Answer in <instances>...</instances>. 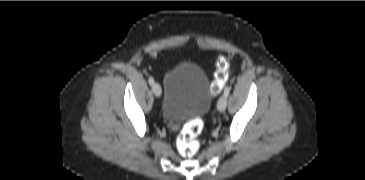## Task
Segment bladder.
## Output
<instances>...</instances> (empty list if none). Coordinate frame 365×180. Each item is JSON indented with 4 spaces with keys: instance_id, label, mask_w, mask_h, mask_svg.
Listing matches in <instances>:
<instances>
[{
    "instance_id": "bladder-1",
    "label": "bladder",
    "mask_w": 365,
    "mask_h": 180,
    "mask_svg": "<svg viewBox=\"0 0 365 180\" xmlns=\"http://www.w3.org/2000/svg\"><path fill=\"white\" fill-rule=\"evenodd\" d=\"M162 116L169 122L205 115L212 104L210 81L204 70L193 62H182L164 79Z\"/></svg>"
}]
</instances>
